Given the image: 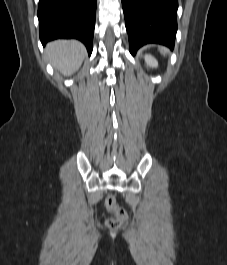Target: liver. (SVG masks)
<instances>
[{
    "instance_id": "obj_1",
    "label": "liver",
    "mask_w": 227,
    "mask_h": 265,
    "mask_svg": "<svg viewBox=\"0 0 227 265\" xmlns=\"http://www.w3.org/2000/svg\"><path fill=\"white\" fill-rule=\"evenodd\" d=\"M46 54L55 69L71 76L80 68L86 49L77 40H56L47 45Z\"/></svg>"
}]
</instances>
